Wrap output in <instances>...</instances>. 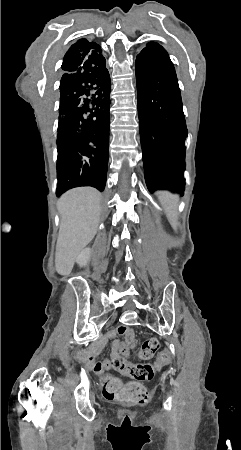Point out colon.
<instances>
[{
	"label": "colon",
	"instance_id": "obj_1",
	"mask_svg": "<svg viewBox=\"0 0 241 450\" xmlns=\"http://www.w3.org/2000/svg\"><path fill=\"white\" fill-rule=\"evenodd\" d=\"M159 348L160 341L158 339L148 338L141 344L138 356L143 360H148L158 352ZM169 357V352L163 351L159 355V361L166 363ZM111 366L138 382L152 380L159 369V363L129 364L118 355L111 358ZM100 387L103 398L110 402L143 407L150 401L148 389L137 382H123L117 378L103 375L100 379Z\"/></svg>",
	"mask_w": 241,
	"mask_h": 450
}]
</instances>
